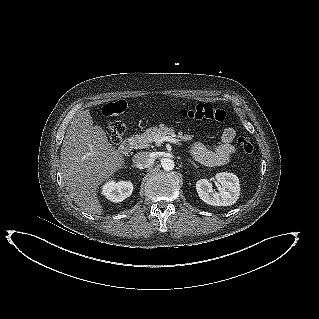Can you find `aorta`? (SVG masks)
Instances as JSON below:
<instances>
[{"label":"aorta","instance_id":"1","mask_svg":"<svg viewBox=\"0 0 319 319\" xmlns=\"http://www.w3.org/2000/svg\"><path fill=\"white\" fill-rule=\"evenodd\" d=\"M161 165H162V168L166 171H171L175 167L174 161L170 158H164L161 161Z\"/></svg>","mask_w":319,"mask_h":319}]
</instances>
